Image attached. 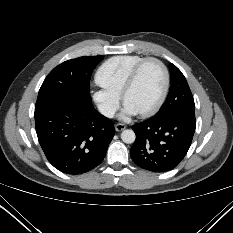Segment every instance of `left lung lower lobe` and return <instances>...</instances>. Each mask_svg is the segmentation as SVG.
Returning a JSON list of instances; mask_svg holds the SVG:
<instances>
[{
	"label": "left lung lower lobe",
	"instance_id": "0a47b994",
	"mask_svg": "<svg viewBox=\"0 0 233 233\" xmlns=\"http://www.w3.org/2000/svg\"><path fill=\"white\" fill-rule=\"evenodd\" d=\"M194 112H179L163 119H148L132 126L136 140L130 149L139 167L165 172L175 168L185 157L195 132Z\"/></svg>",
	"mask_w": 233,
	"mask_h": 233
}]
</instances>
